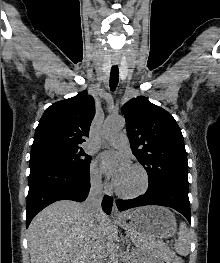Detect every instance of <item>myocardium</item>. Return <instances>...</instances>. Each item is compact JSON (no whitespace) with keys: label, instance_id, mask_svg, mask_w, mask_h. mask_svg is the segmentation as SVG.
I'll use <instances>...</instances> for the list:
<instances>
[{"label":"myocardium","instance_id":"1","mask_svg":"<svg viewBox=\"0 0 220 263\" xmlns=\"http://www.w3.org/2000/svg\"><path fill=\"white\" fill-rule=\"evenodd\" d=\"M132 168L138 170L141 173L142 178H143V184L139 190L134 191V192L122 191L117 187V185H115V193L124 199H135V198H138L144 195L147 192L149 185H150L149 174L147 170L141 164H138V163L133 164Z\"/></svg>","mask_w":220,"mask_h":263}]
</instances>
